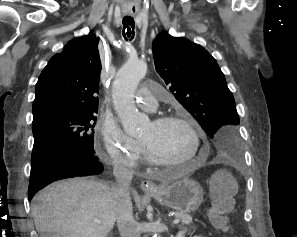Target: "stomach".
I'll use <instances>...</instances> for the list:
<instances>
[{"instance_id":"1","label":"stomach","mask_w":297,"mask_h":237,"mask_svg":"<svg viewBox=\"0 0 297 237\" xmlns=\"http://www.w3.org/2000/svg\"><path fill=\"white\" fill-rule=\"evenodd\" d=\"M147 194L166 206L181 213L195 212L203 202V189L190 178H183L171 184H162Z\"/></svg>"}]
</instances>
